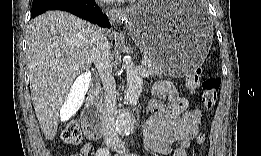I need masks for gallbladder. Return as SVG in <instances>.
I'll list each match as a JSON object with an SVG mask.
<instances>
[{
  "mask_svg": "<svg viewBox=\"0 0 261 156\" xmlns=\"http://www.w3.org/2000/svg\"><path fill=\"white\" fill-rule=\"evenodd\" d=\"M90 72L83 73L77 77L74 84L71 85L70 92L67 95V100L63 102L60 111V118L62 122H68L73 114L77 113L80 108L85 96L87 95L88 89H90L89 84L91 82Z\"/></svg>",
  "mask_w": 261,
  "mask_h": 156,
  "instance_id": "1",
  "label": "gallbladder"
}]
</instances>
